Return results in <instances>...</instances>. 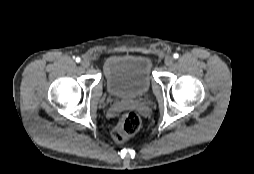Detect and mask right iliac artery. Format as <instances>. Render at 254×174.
<instances>
[{
  "instance_id": "1",
  "label": "right iliac artery",
  "mask_w": 254,
  "mask_h": 174,
  "mask_svg": "<svg viewBox=\"0 0 254 174\" xmlns=\"http://www.w3.org/2000/svg\"><path fill=\"white\" fill-rule=\"evenodd\" d=\"M75 60H76V62H80V58L79 57H77Z\"/></svg>"
}]
</instances>
